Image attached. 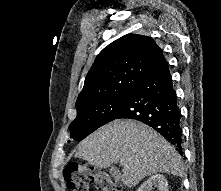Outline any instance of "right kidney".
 Segmentation results:
<instances>
[{
  "label": "right kidney",
  "mask_w": 221,
  "mask_h": 191,
  "mask_svg": "<svg viewBox=\"0 0 221 191\" xmlns=\"http://www.w3.org/2000/svg\"><path fill=\"white\" fill-rule=\"evenodd\" d=\"M155 188L157 191H169L168 182L163 175L155 174L151 176L138 188L137 191H152Z\"/></svg>",
  "instance_id": "right-kidney-1"
}]
</instances>
